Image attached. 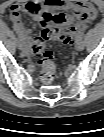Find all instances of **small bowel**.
Segmentation results:
<instances>
[{
	"mask_svg": "<svg viewBox=\"0 0 104 137\" xmlns=\"http://www.w3.org/2000/svg\"><path fill=\"white\" fill-rule=\"evenodd\" d=\"M29 13L36 21L43 20L47 15L51 20L65 27L73 36H79L80 31L88 27L96 18L97 10L90 3L83 0H41L28 1L24 4H13L9 9V21L24 38L26 51L31 53L30 31L20 17V12ZM71 12V14L67 13Z\"/></svg>",
	"mask_w": 104,
	"mask_h": 137,
	"instance_id": "c3829d8e",
	"label": "small bowel"
}]
</instances>
